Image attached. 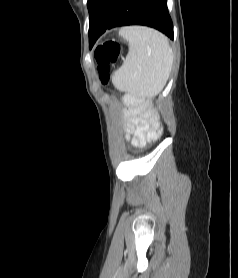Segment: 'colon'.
Returning <instances> with one entry per match:
<instances>
[{
  "label": "colon",
  "instance_id": "1",
  "mask_svg": "<svg viewBox=\"0 0 238 278\" xmlns=\"http://www.w3.org/2000/svg\"><path fill=\"white\" fill-rule=\"evenodd\" d=\"M121 52L120 44L114 41H108L95 50V59L103 83L108 81L110 65L117 60Z\"/></svg>",
  "mask_w": 238,
  "mask_h": 278
}]
</instances>
